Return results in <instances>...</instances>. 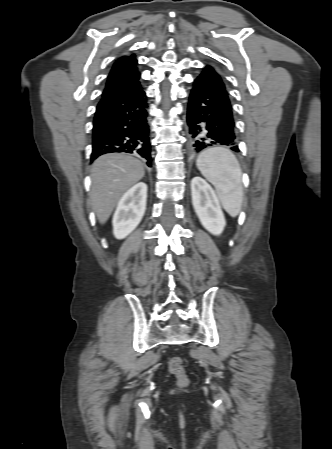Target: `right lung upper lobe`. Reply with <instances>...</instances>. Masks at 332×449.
<instances>
[{
	"instance_id": "1",
	"label": "right lung upper lobe",
	"mask_w": 332,
	"mask_h": 449,
	"mask_svg": "<svg viewBox=\"0 0 332 449\" xmlns=\"http://www.w3.org/2000/svg\"><path fill=\"white\" fill-rule=\"evenodd\" d=\"M135 55L122 56L113 65L102 98L120 97L141 90Z\"/></svg>"
}]
</instances>
